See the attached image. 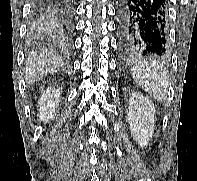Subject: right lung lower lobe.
<instances>
[{"label":"right lung lower lobe","instance_id":"1","mask_svg":"<svg viewBox=\"0 0 197 181\" xmlns=\"http://www.w3.org/2000/svg\"><path fill=\"white\" fill-rule=\"evenodd\" d=\"M40 22L70 29L75 12L74 0H35Z\"/></svg>","mask_w":197,"mask_h":181}]
</instances>
